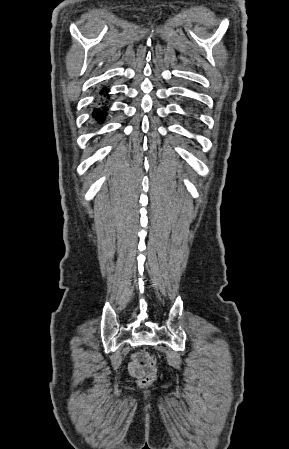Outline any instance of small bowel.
I'll list each match as a JSON object with an SVG mask.
<instances>
[{
    "label": "small bowel",
    "mask_w": 289,
    "mask_h": 449,
    "mask_svg": "<svg viewBox=\"0 0 289 449\" xmlns=\"http://www.w3.org/2000/svg\"><path fill=\"white\" fill-rule=\"evenodd\" d=\"M146 356L147 353L145 352H136L132 355V359L128 364V371L133 377L141 378L154 370V368L148 364Z\"/></svg>",
    "instance_id": "c3829d8e"
}]
</instances>
